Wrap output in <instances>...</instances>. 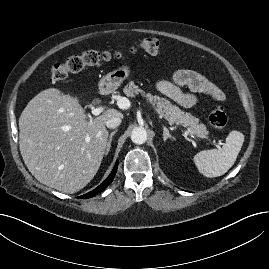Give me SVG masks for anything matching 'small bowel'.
I'll use <instances>...</instances> for the list:
<instances>
[{
  "instance_id": "c3829d8e",
  "label": "small bowel",
  "mask_w": 269,
  "mask_h": 269,
  "mask_svg": "<svg viewBox=\"0 0 269 269\" xmlns=\"http://www.w3.org/2000/svg\"><path fill=\"white\" fill-rule=\"evenodd\" d=\"M156 87L160 93L184 108H191L197 104L198 100L195 94L208 96L215 101H223L225 98L222 90L191 69L176 71L171 81L160 80ZM180 87H187L192 93H184Z\"/></svg>"
}]
</instances>
